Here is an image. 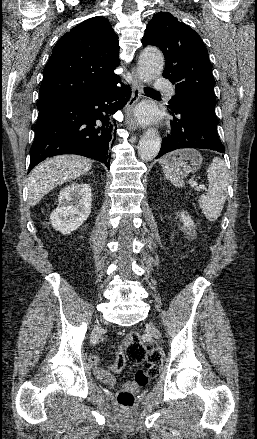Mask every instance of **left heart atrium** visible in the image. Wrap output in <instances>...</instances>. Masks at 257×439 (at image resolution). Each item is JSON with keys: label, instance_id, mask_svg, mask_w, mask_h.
Segmentation results:
<instances>
[{"label": "left heart atrium", "instance_id": "left-heart-atrium-1", "mask_svg": "<svg viewBox=\"0 0 257 439\" xmlns=\"http://www.w3.org/2000/svg\"><path fill=\"white\" fill-rule=\"evenodd\" d=\"M139 117L142 120H149L150 118H152V113L148 109H142L139 112Z\"/></svg>", "mask_w": 257, "mask_h": 439}]
</instances>
